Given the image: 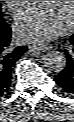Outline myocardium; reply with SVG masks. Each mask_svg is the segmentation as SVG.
<instances>
[{
    "label": "myocardium",
    "mask_w": 74,
    "mask_h": 122,
    "mask_svg": "<svg viewBox=\"0 0 74 122\" xmlns=\"http://www.w3.org/2000/svg\"><path fill=\"white\" fill-rule=\"evenodd\" d=\"M74 22V1H72V14H71V24Z\"/></svg>",
    "instance_id": "f54148a6"
}]
</instances>
